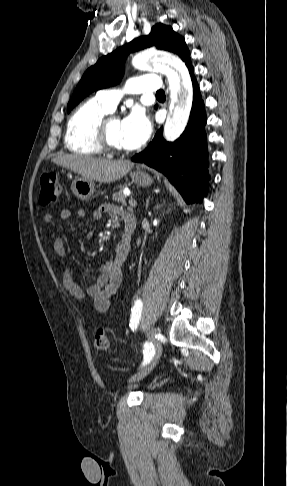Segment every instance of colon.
<instances>
[{"label":"colon","mask_w":287,"mask_h":486,"mask_svg":"<svg viewBox=\"0 0 287 486\" xmlns=\"http://www.w3.org/2000/svg\"><path fill=\"white\" fill-rule=\"evenodd\" d=\"M60 194V185L53 172L44 173L40 179L39 204L47 206L57 200ZM94 346L98 350H107L110 346V337L104 328L94 331Z\"/></svg>","instance_id":"colon-1"}]
</instances>
